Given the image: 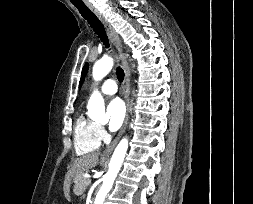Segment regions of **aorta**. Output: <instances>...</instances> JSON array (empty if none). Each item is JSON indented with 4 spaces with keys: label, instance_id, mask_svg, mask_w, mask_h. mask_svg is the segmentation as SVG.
I'll return each instance as SVG.
<instances>
[{
    "label": "aorta",
    "instance_id": "1",
    "mask_svg": "<svg viewBox=\"0 0 253 204\" xmlns=\"http://www.w3.org/2000/svg\"><path fill=\"white\" fill-rule=\"evenodd\" d=\"M113 59L111 57H103L93 66V78L96 81L103 79L112 69ZM88 115L94 121H108V116L105 114V106L102 95L96 90L92 93L88 105ZM128 149V139L123 138L117 145L109 164V170L104 176L103 184L96 195L94 204H104V199L107 193L112 188L113 182L120 170V167L125 158Z\"/></svg>",
    "mask_w": 253,
    "mask_h": 204
}]
</instances>
